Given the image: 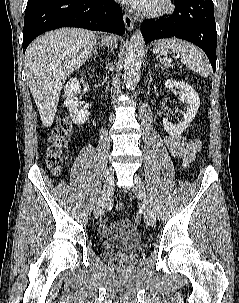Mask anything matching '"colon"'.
<instances>
[{
  "label": "colon",
  "mask_w": 239,
  "mask_h": 303,
  "mask_svg": "<svg viewBox=\"0 0 239 303\" xmlns=\"http://www.w3.org/2000/svg\"><path fill=\"white\" fill-rule=\"evenodd\" d=\"M72 129V122L68 118H63L59 121L57 126L52 130L48 138L47 149V166L49 170L55 174H60L64 166V154L66 152L69 136ZM125 205L122 201H118L115 205V209L118 212L123 211ZM135 223H139L138 218H134Z\"/></svg>",
  "instance_id": "1"
}]
</instances>
